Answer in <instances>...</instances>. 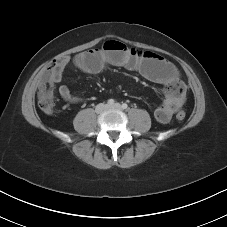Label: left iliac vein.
I'll return each instance as SVG.
<instances>
[{"instance_id": "4c4485c4", "label": "left iliac vein", "mask_w": 227, "mask_h": 227, "mask_svg": "<svg viewBox=\"0 0 227 227\" xmlns=\"http://www.w3.org/2000/svg\"><path fill=\"white\" fill-rule=\"evenodd\" d=\"M108 108L122 110V106L119 103H115L114 105H109Z\"/></svg>"}]
</instances>
